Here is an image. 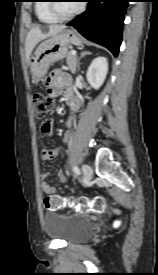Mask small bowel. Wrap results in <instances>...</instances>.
Returning a JSON list of instances; mask_svg holds the SVG:
<instances>
[{
	"mask_svg": "<svg viewBox=\"0 0 158 275\" xmlns=\"http://www.w3.org/2000/svg\"><path fill=\"white\" fill-rule=\"evenodd\" d=\"M48 80H49V87H48L49 95L51 97H55L57 95L67 96L70 108L73 111L76 110L78 108V100L75 97L71 96L70 78L67 75H65L61 69H57L50 74ZM66 125L68 128L72 126L71 118L67 121ZM52 130H53V122L51 120H47L41 125V132L45 136L51 135ZM69 139H70V132L66 131L63 135V141L68 142ZM59 153H60L59 148L44 149L42 151V159L43 160L54 159L59 155ZM57 175L60 183L67 182V178L62 170H59ZM48 177H49V173L41 174L40 176L41 189L43 193L47 195H51L55 193L56 187L47 182Z\"/></svg>",
	"mask_w": 158,
	"mask_h": 275,
	"instance_id": "c3829d8e",
	"label": "small bowel"
}]
</instances>
